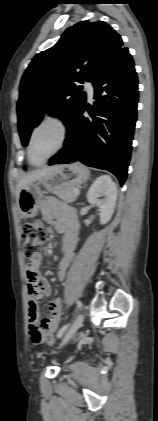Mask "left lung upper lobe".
Wrapping results in <instances>:
<instances>
[{
	"instance_id": "left-lung-upper-lobe-1",
	"label": "left lung upper lobe",
	"mask_w": 158,
	"mask_h": 421,
	"mask_svg": "<svg viewBox=\"0 0 158 421\" xmlns=\"http://www.w3.org/2000/svg\"><path fill=\"white\" fill-rule=\"evenodd\" d=\"M122 46L120 35L108 24L81 21L69 27L56 45L37 54L20 83L17 113L22 145H27L33 127L47 111L69 127L86 103V94L76 83L93 82Z\"/></svg>"
}]
</instances>
